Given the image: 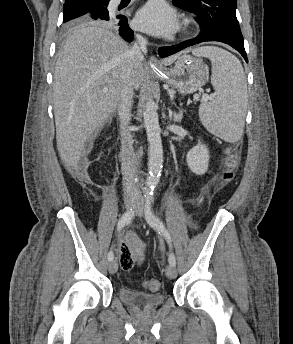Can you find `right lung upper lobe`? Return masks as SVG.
Here are the masks:
<instances>
[{"instance_id":"obj_1","label":"right lung upper lobe","mask_w":293,"mask_h":344,"mask_svg":"<svg viewBox=\"0 0 293 344\" xmlns=\"http://www.w3.org/2000/svg\"><path fill=\"white\" fill-rule=\"evenodd\" d=\"M80 1H85V0H66V3L64 5H68V4H72V3H76V2H80ZM76 26H78V25H72L70 28H73Z\"/></svg>"}]
</instances>
